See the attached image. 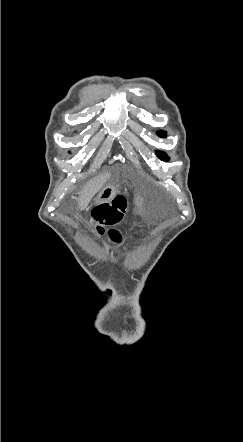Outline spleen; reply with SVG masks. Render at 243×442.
Listing matches in <instances>:
<instances>
[{"mask_svg":"<svg viewBox=\"0 0 243 442\" xmlns=\"http://www.w3.org/2000/svg\"><path fill=\"white\" fill-rule=\"evenodd\" d=\"M133 200L135 202H142L144 200V195L142 193H135L133 195Z\"/></svg>","mask_w":243,"mask_h":442,"instance_id":"1","label":"spleen"}]
</instances>
